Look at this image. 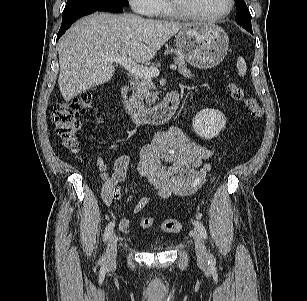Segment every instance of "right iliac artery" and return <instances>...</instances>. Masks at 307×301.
Instances as JSON below:
<instances>
[{
  "mask_svg": "<svg viewBox=\"0 0 307 301\" xmlns=\"http://www.w3.org/2000/svg\"><path fill=\"white\" fill-rule=\"evenodd\" d=\"M114 226H115L114 222H110L106 226L105 231H104V241L108 240V238L110 237L111 233L113 232ZM99 261H100L101 264H104L105 263V258L102 256Z\"/></svg>",
  "mask_w": 307,
  "mask_h": 301,
  "instance_id": "obj_1",
  "label": "right iliac artery"
}]
</instances>
